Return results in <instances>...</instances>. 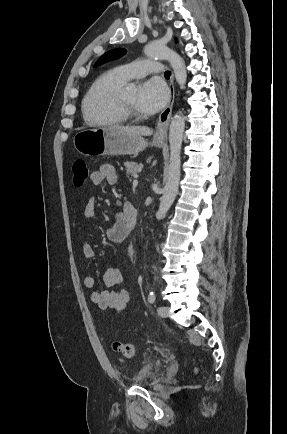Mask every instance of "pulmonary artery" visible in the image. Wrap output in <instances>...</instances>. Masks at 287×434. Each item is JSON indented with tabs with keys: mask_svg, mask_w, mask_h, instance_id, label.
<instances>
[{
	"mask_svg": "<svg viewBox=\"0 0 287 434\" xmlns=\"http://www.w3.org/2000/svg\"><path fill=\"white\" fill-rule=\"evenodd\" d=\"M123 79L130 80L141 78L148 74H159L162 71V65L159 62L150 60H138L117 68Z\"/></svg>",
	"mask_w": 287,
	"mask_h": 434,
	"instance_id": "1",
	"label": "pulmonary artery"
}]
</instances>
